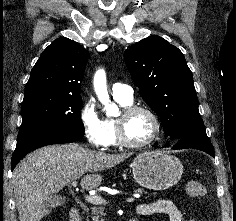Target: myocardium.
<instances>
[{
	"label": "myocardium",
	"mask_w": 236,
	"mask_h": 221,
	"mask_svg": "<svg viewBox=\"0 0 236 221\" xmlns=\"http://www.w3.org/2000/svg\"><path fill=\"white\" fill-rule=\"evenodd\" d=\"M138 112H144L148 114L152 118L155 125V130L153 135L148 140L141 143L130 141L127 138L125 132V126L128 118ZM115 125H116L118 143L121 146L132 149H141L152 145L160 138L163 129L161 120L157 115V113L150 107L144 105H128L123 107L119 117L115 119Z\"/></svg>",
	"instance_id": "obj_1"
}]
</instances>
